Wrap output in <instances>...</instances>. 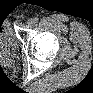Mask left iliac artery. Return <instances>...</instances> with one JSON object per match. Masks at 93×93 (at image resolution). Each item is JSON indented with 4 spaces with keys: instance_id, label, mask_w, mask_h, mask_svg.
I'll list each match as a JSON object with an SVG mask.
<instances>
[{
    "instance_id": "44dca946",
    "label": "left iliac artery",
    "mask_w": 93,
    "mask_h": 93,
    "mask_svg": "<svg viewBox=\"0 0 93 93\" xmlns=\"http://www.w3.org/2000/svg\"><path fill=\"white\" fill-rule=\"evenodd\" d=\"M33 20H34V23H37L39 21L37 17H35Z\"/></svg>"
}]
</instances>
